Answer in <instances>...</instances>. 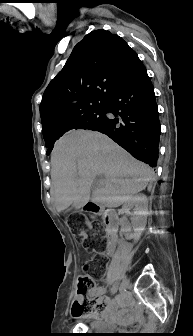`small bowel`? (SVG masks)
I'll use <instances>...</instances> for the list:
<instances>
[{
    "instance_id": "c3829d8e",
    "label": "small bowel",
    "mask_w": 193,
    "mask_h": 336,
    "mask_svg": "<svg viewBox=\"0 0 193 336\" xmlns=\"http://www.w3.org/2000/svg\"><path fill=\"white\" fill-rule=\"evenodd\" d=\"M103 291L102 287H95L88 295L90 297H99L104 307L103 317L109 324L128 326L139 320V316L130 309V301L127 297L115 303V301L103 296Z\"/></svg>"
}]
</instances>
